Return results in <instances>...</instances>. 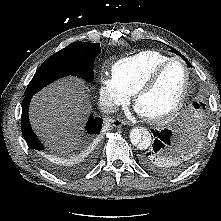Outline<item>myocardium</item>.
<instances>
[{
  "label": "myocardium",
  "mask_w": 221,
  "mask_h": 221,
  "mask_svg": "<svg viewBox=\"0 0 221 221\" xmlns=\"http://www.w3.org/2000/svg\"><path fill=\"white\" fill-rule=\"evenodd\" d=\"M175 61L181 62L185 68L186 83H185L184 90L179 100L169 111L158 116H144L143 115L144 118L152 124H162L171 120L180 112V110L183 108L184 104L186 103L188 96L190 94V91H191V87H192L191 71L187 62L182 57H178V56L170 57L168 60L162 63L159 67H157L152 72V74L137 88V90L133 94V104H134V107L137 108V103L139 99L145 94H147L148 92H150L155 87V85L159 81L164 71Z\"/></svg>",
  "instance_id": "obj_1"
}]
</instances>
